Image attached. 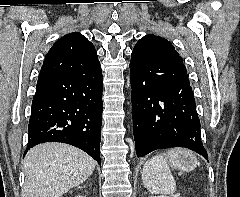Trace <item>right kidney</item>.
I'll use <instances>...</instances> for the list:
<instances>
[{
	"label": "right kidney",
	"instance_id": "ca27d5eb",
	"mask_svg": "<svg viewBox=\"0 0 240 197\" xmlns=\"http://www.w3.org/2000/svg\"><path fill=\"white\" fill-rule=\"evenodd\" d=\"M75 197H84V196L77 195V196H75Z\"/></svg>",
	"mask_w": 240,
	"mask_h": 197
}]
</instances>
